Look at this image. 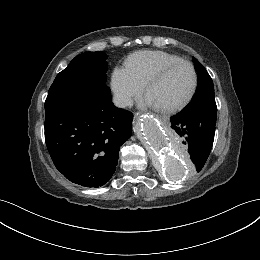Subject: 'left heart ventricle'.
Instances as JSON below:
<instances>
[{"label":"left heart ventricle","mask_w":260,"mask_h":260,"mask_svg":"<svg viewBox=\"0 0 260 260\" xmlns=\"http://www.w3.org/2000/svg\"><path fill=\"white\" fill-rule=\"evenodd\" d=\"M192 79L190 68L181 64L169 70L149 91L147 97L164 106L179 100L188 90Z\"/></svg>","instance_id":"left-heart-ventricle-1"}]
</instances>
